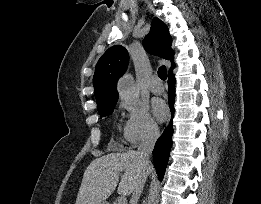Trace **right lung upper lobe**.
<instances>
[{
  "instance_id": "cb5924a9",
  "label": "right lung upper lobe",
  "mask_w": 261,
  "mask_h": 204,
  "mask_svg": "<svg viewBox=\"0 0 261 204\" xmlns=\"http://www.w3.org/2000/svg\"><path fill=\"white\" fill-rule=\"evenodd\" d=\"M172 38L168 27L160 19L154 18L150 33L143 41L144 48L151 54L173 60ZM129 62L127 50L121 45L110 47L99 59L93 77L97 106L118 100L117 81Z\"/></svg>"
}]
</instances>
